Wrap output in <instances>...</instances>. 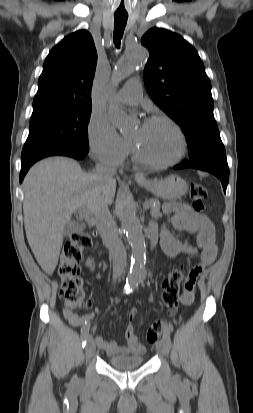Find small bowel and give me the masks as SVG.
Here are the masks:
<instances>
[{
    "instance_id": "c3829d8e",
    "label": "small bowel",
    "mask_w": 253,
    "mask_h": 413,
    "mask_svg": "<svg viewBox=\"0 0 253 413\" xmlns=\"http://www.w3.org/2000/svg\"><path fill=\"white\" fill-rule=\"evenodd\" d=\"M164 212L171 215V223L173 227L180 231L195 233L197 235L196 242L190 244L176 239L168 229L162 227L159 229L161 246L164 252L172 258L180 255L198 256L200 264L194 266L190 273H185L180 284V303L184 309H191L194 303L196 287L195 283L206 266L212 264L217 256V245L214 238V228L205 215L198 214L188 204L182 202L167 203L164 206ZM152 232L156 234L158 228L156 224L151 226ZM150 299H155V294L152 293ZM136 311L133 309L129 315V322L125 330V339L127 346H120L115 341H106L103 337H95L96 345L104 350L109 356L120 354L133 353L142 355L145 353V346L140 342L134 333L133 320ZM64 316L68 322L81 332L90 329L93 314L87 313L79 315L75 311L64 310Z\"/></svg>"
}]
</instances>
